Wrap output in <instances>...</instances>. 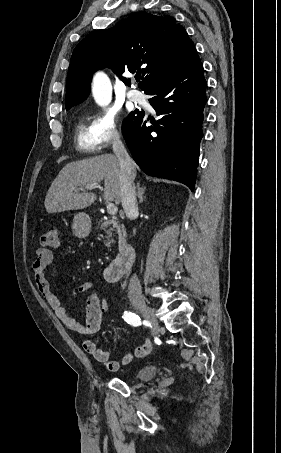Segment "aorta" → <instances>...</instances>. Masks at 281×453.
<instances>
[{"label":"aorta","instance_id":"762f6f07","mask_svg":"<svg viewBox=\"0 0 281 453\" xmlns=\"http://www.w3.org/2000/svg\"><path fill=\"white\" fill-rule=\"evenodd\" d=\"M92 93L96 103L102 107L107 106L112 99V85L108 76L97 72L93 77Z\"/></svg>","mask_w":281,"mask_h":453}]
</instances>
